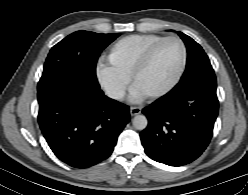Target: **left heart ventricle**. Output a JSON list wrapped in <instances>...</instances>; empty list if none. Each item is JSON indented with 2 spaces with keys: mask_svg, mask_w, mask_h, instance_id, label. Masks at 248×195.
I'll list each match as a JSON object with an SVG mask.
<instances>
[{
  "mask_svg": "<svg viewBox=\"0 0 248 195\" xmlns=\"http://www.w3.org/2000/svg\"><path fill=\"white\" fill-rule=\"evenodd\" d=\"M182 60V47L177 41H169L158 52L152 66L140 77L138 88L142 92L159 91L177 74Z\"/></svg>",
  "mask_w": 248,
  "mask_h": 195,
  "instance_id": "obj_1",
  "label": "left heart ventricle"
}]
</instances>
